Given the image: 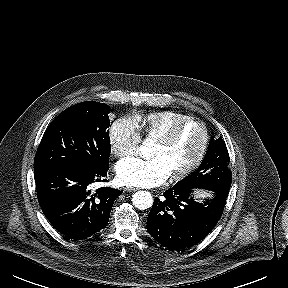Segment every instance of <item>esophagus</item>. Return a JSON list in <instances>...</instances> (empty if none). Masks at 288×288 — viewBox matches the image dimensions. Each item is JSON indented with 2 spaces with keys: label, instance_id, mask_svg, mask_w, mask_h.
<instances>
[{
  "label": "esophagus",
  "instance_id": "esophagus-1",
  "mask_svg": "<svg viewBox=\"0 0 288 288\" xmlns=\"http://www.w3.org/2000/svg\"><path fill=\"white\" fill-rule=\"evenodd\" d=\"M136 190H138V189L135 187H124V191H127V192H134Z\"/></svg>",
  "mask_w": 288,
  "mask_h": 288
}]
</instances>
